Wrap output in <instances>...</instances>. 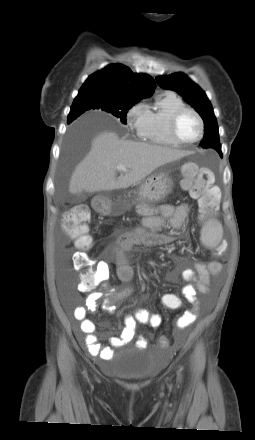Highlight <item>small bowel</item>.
Returning a JSON list of instances; mask_svg holds the SVG:
<instances>
[{
  "mask_svg": "<svg viewBox=\"0 0 255 440\" xmlns=\"http://www.w3.org/2000/svg\"><path fill=\"white\" fill-rule=\"evenodd\" d=\"M189 215V207L186 204L180 206L163 205L159 208V214L147 216L143 219L142 227L127 231L121 234L113 249L114 264L116 266V275L122 286L114 288L110 285H104L103 293H91L86 301V306H78L73 310L74 318L80 322V330L85 334L81 339L82 344L87 351L102 360H112L114 358L113 347L121 346L130 342L135 335V326L137 323L158 327L161 324V317L158 314L151 313L147 309H137L134 314L127 315L124 319L125 327L119 337H111L109 346H103L98 342L95 331V324L87 317L88 311H96L99 308L98 301L105 297L102 309L107 313H112L113 306L122 299L129 297L133 288L128 285L131 281L134 271L129 264L127 254L133 247L138 245L158 246L170 243L172 236L163 231L166 220L170 226L180 229ZM221 271V264L218 261L208 263L196 262L194 269H184L180 272L181 278L187 282L182 287L183 297L194 307L197 308L199 300L197 293H207L210 287L211 276L218 275ZM177 273H173L171 278H175ZM110 278V264L106 261H99L96 264V283H102ZM191 282H194L192 284ZM161 298H180L179 295L166 293ZM182 300V299H181ZM197 314L194 310L185 311L176 321L179 329H184L196 320ZM140 346L146 345V340L140 338Z\"/></svg>",
  "mask_w": 255,
  "mask_h": 440,
  "instance_id": "obj_1",
  "label": "small bowel"
}]
</instances>
